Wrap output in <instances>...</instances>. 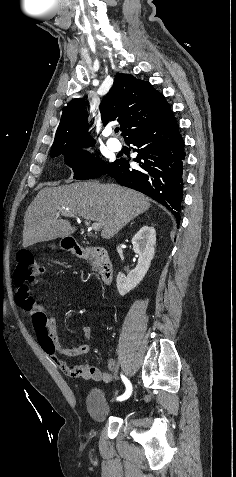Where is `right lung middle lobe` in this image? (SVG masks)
Wrapping results in <instances>:
<instances>
[{
  "instance_id": "1",
  "label": "right lung middle lobe",
  "mask_w": 236,
  "mask_h": 477,
  "mask_svg": "<svg viewBox=\"0 0 236 477\" xmlns=\"http://www.w3.org/2000/svg\"><path fill=\"white\" fill-rule=\"evenodd\" d=\"M90 145L84 146L89 147ZM82 148L73 151L57 150L51 152V157L64 155L65 163L72 168L74 172V179L85 180L93 179L101 174H106L115 163L105 164L101 159L95 158Z\"/></svg>"
}]
</instances>
